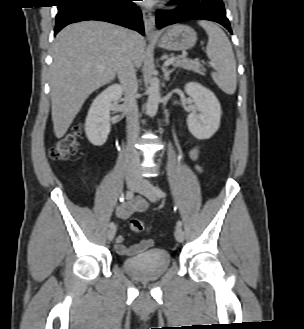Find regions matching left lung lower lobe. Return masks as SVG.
Wrapping results in <instances>:
<instances>
[{
	"instance_id": "1",
	"label": "left lung lower lobe",
	"mask_w": 304,
	"mask_h": 329,
	"mask_svg": "<svg viewBox=\"0 0 304 329\" xmlns=\"http://www.w3.org/2000/svg\"><path fill=\"white\" fill-rule=\"evenodd\" d=\"M176 2L178 7L173 10L157 11L158 28L187 20L204 19L223 25L232 34L222 0H177Z\"/></svg>"
}]
</instances>
